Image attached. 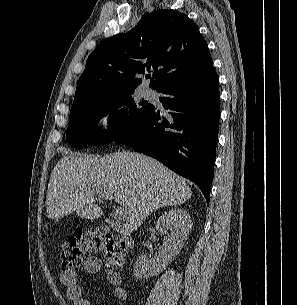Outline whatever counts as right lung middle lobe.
Masks as SVG:
<instances>
[{
	"label": "right lung middle lobe",
	"mask_w": 297,
	"mask_h": 305,
	"mask_svg": "<svg viewBox=\"0 0 297 305\" xmlns=\"http://www.w3.org/2000/svg\"><path fill=\"white\" fill-rule=\"evenodd\" d=\"M133 93L134 90L125 91L73 104L66 133L67 142L75 148L108 143L140 121L148 114L152 105L147 101L135 104ZM107 114H110L109 129L103 132L105 136H98L97 134H102V129L97 128V123Z\"/></svg>",
	"instance_id": "right-lung-middle-lobe-1"
}]
</instances>
